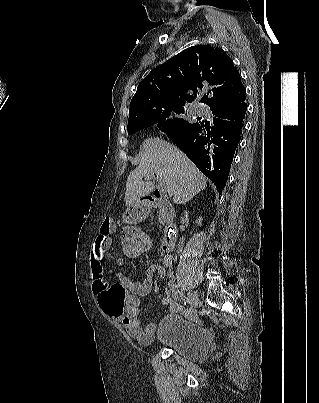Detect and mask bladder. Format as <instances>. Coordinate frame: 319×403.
<instances>
[{"label": "bladder", "mask_w": 319, "mask_h": 403, "mask_svg": "<svg viewBox=\"0 0 319 403\" xmlns=\"http://www.w3.org/2000/svg\"><path fill=\"white\" fill-rule=\"evenodd\" d=\"M153 343L193 362L204 361L210 349L207 329L185 321L178 313L162 318Z\"/></svg>", "instance_id": "31cf9c89"}]
</instances>
